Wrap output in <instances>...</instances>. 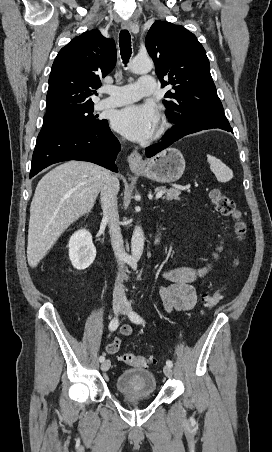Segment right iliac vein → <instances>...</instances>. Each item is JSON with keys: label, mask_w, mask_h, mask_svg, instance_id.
<instances>
[{"label": "right iliac vein", "mask_w": 272, "mask_h": 452, "mask_svg": "<svg viewBox=\"0 0 272 452\" xmlns=\"http://www.w3.org/2000/svg\"><path fill=\"white\" fill-rule=\"evenodd\" d=\"M122 307H123V303L121 301H114L112 304V309L115 314H117L122 309ZM110 365H111L110 360L107 359V360L103 361V363L101 364L102 371H104V372L108 371L110 368Z\"/></svg>", "instance_id": "obj_1"}]
</instances>
